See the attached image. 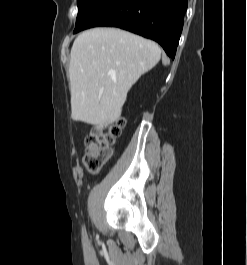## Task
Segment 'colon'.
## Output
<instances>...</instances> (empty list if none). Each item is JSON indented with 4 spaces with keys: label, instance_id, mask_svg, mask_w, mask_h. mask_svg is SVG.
Wrapping results in <instances>:
<instances>
[{
    "label": "colon",
    "instance_id": "5ec220e1",
    "mask_svg": "<svg viewBox=\"0 0 247 265\" xmlns=\"http://www.w3.org/2000/svg\"><path fill=\"white\" fill-rule=\"evenodd\" d=\"M124 119L115 121L106 131L93 129L86 136L84 165L89 172H98L112 156V145L121 135Z\"/></svg>",
    "mask_w": 247,
    "mask_h": 265
}]
</instances>
